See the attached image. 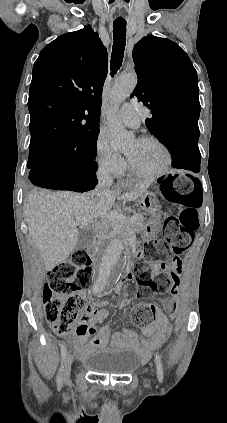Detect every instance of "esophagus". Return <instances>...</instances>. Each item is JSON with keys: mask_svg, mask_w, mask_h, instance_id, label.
Returning a JSON list of instances; mask_svg holds the SVG:
<instances>
[{"mask_svg": "<svg viewBox=\"0 0 227 423\" xmlns=\"http://www.w3.org/2000/svg\"><path fill=\"white\" fill-rule=\"evenodd\" d=\"M123 182V180H117L118 184H121Z\"/></svg>", "mask_w": 227, "mask_h": 423, "instance_id": "esophagus-1", "label": "esophagus"}]
</instances>
